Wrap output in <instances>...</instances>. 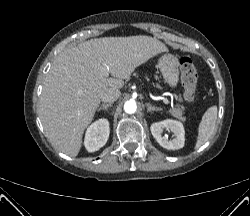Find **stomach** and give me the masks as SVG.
I'll return each instance as SVG.
<instances>
[{
    "mask_svg": "<svg viewBox=\"0 0 250 216\" xmlns=\"http://www.w3.org/2000/svg\"><path fill=\"white\" fill-rule=\"evenodd\" d=\"M158 67L165 82L172 88H176L179 82V62L177 57L171 54L163 55L158 61Z\"/></svg>",
    "mask_w": 250,
    "mask_h": 216,
    "instance_id": "obj_1",
    "label": "stomach"
}]
</instances>
